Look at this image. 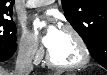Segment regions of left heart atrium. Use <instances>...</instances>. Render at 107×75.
Masks as SVG:
<instances>
[{
    "label": "left heart atrium",
    "mask_w": 107,
    "mask_h": 75,
    "mask_svg": "<svg viewBox=\"0 0 107 75\" xmlns=\"http://www.w3.org/2000/svg\"><path fill=\"white\" fill-rule=\"evenodd\" d=\"M34 29L40 36L42 43L49 50L54 47L61 32L57 26L47 22V20H36L34 22Z\"/></svg>",
    "instance_id": "1"
}]
</instances>
